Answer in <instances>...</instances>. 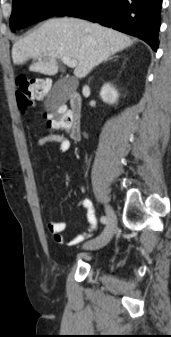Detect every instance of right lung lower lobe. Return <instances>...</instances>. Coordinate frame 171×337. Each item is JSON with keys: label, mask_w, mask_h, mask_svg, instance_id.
<instances>
[{"label": "right lung lower lobe", "mask_w": 171, "mask_h": 337, "mask_svg": "<svg viewBox=\"0 0 171 337\" xmlns=\"http://www.w3.org/2000/svg\"><path fill=\"white\" fill-rule=\"evenodd\" d=\"M162 0H75L56 16H74L136 36L156 51Z\"/></svg>", "instance_id": "1"}]
</instances>
